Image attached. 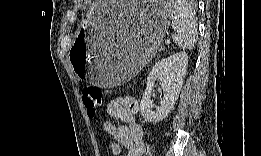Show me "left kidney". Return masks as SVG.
<instances>
[{
	"label": "left kidney",
	"mask_w": 261,
	"mask_h": 156,
	"mask_svg": "<svg viewBox=\"0 0 261 156\" xmlns=\"http://www.w3.org/2000/svg\"><path fill=\"white\" fill-rule=\"evenodd\" d=\"M187 65V54L179 52L160 60L153 66L147 77L146 90L140 102L141 114L145 121L156 123L168 115L181 91ZM156 81H160L164 95L159 102L160 106L154 111L151 97Z\"/></svg>",
	"instance_id": "left-kidney-1"
}]
</instances>
